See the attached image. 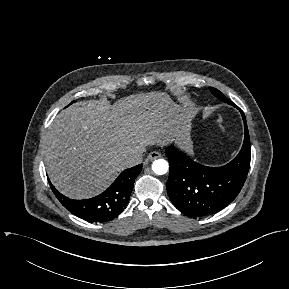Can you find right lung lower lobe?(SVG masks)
<instances>
[{
  "label": "right lung lower lobe",
  "instance_id": "obj_1",
  "mask_svg": "<svg viewBox=\"0 0 289 289\" xmlns=\"http://www.w3.org/2000/svg\"><path fill=\"white\" fill-rule=\"evenodd\" d=\"M141 169L142 164L126 169L106 191L85 200L70 199L49 184L60 203L73 214L90 222H106L117 216L127 204Z\"/></svg>",
  "mask_w": 289,
  "mask_h": 289
}]
</instances>
